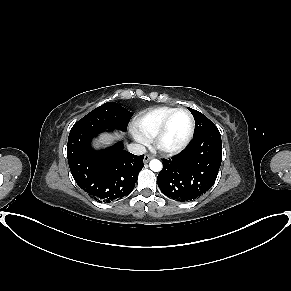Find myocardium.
I'll list each match as a JSON object with an SVG mask.
<instances>
[{
    "label": "myocardium",
    "mask_w": 291,
    "mask_h": 291,
    "mask_svg": "<svg viewBox=\"0 0 291 291\" xmlns=\"http://www.w3.org/2000/svg\"><path fill=\"white\" fill-rule=\"evenodd\" d=\"M179 112H185L189 115V117H190L189 131H188L185 139L180 144H178L177 146H174V147H167L163 144V138L167 132V129L169 127L171 119L174 117V115H176ZM194 130H195V118H194L193 114L191 113V111L187 108H176L165 118L162 125L160 126L158 132L156 133V135L154 137V145L160 152H162L164 154L179 153L182 150H184L188 146L190 141L192 140L193 135H194Z\"/></svg>",
    "instance_id": "1"
}]
</instances>
